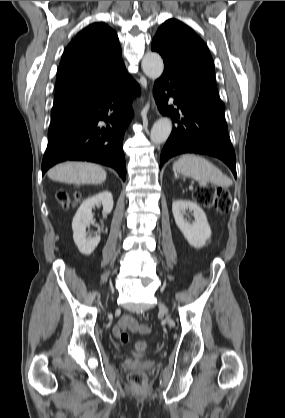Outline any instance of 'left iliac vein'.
I'll return each mask as SVG.
<instances>
[{
  "label": "left iliac vein",
  "instance_id": "4c4485c4",
  "mask_svg": "<svg viewBox=\"0 0 285 418\" xmlns=\"http://www.w3.org/2000/svg\"><path fill=\"white\" fill-rule=\"evenodd\" d=\"M159 309L166 316V318L169 320L170 317H169V314H168L167 307L163 303H159Z\"/></svg>",
  "mask_w": 285,
  "mask_h": 418
}]
</instances>
